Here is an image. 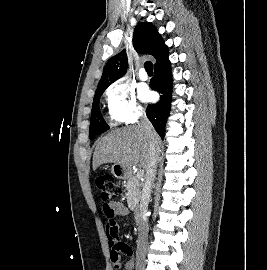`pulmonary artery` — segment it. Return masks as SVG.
Segmentation results:
<instances>
[{"label":"pulmonary artery","instance_id":"1","mask_svg":"<svg viewBox=\"0 0 267 270\" xmlns=\"http://www.w3.org/2000/svg\"><path fill=\"white\" fill-rule=\"evenodd\" d=\"M138 76H139V78H140L141 80H143V81H145V80L148 79V75H147V73H146V71H145L144 68H141V69L139 70Z\"/></svg>","mask_w":267,"mask_h":270}]
</instances>
